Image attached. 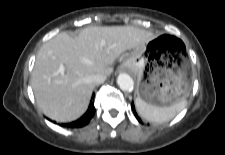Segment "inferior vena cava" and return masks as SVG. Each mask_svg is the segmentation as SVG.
Instances as JSON below:
<instances>
[{"label":"inferior vena cava","mask_w":225,"mask_h":155,"mask_svg":"<svg viewBox=\"0 0 225 155\" xmlns=\"http://www.w3.org/2000/svg\"><path fill=\"white\" fill-rule=\"evenodd\" d=\"M107 76L105 74H96L94 77H93V82L95 84H99V83H102L106 80Z\"/></svg>","instance_id":"obj_1"}]
</instances>
